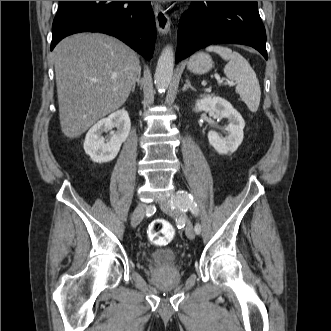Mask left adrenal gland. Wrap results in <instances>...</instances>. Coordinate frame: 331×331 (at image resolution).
Segmentation results:
<instances>
[{"label":"left adrenal gland","mask_w":331,"mask_h":331,"mask_svg":"<svg viewBox=\"0 0 331 331\" xmlns=\"http://www.w3.org/2000/svg\"><path fill=\"white\" fill-rule=\"evenodd\" d=\"M188 88H190L191 90H195V88L193 86H191L189 79H186V83L184 84L182 90L186 91Z\"/></svg>","instance_id":"1"}]
</instances>
